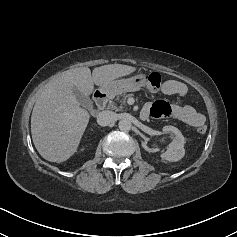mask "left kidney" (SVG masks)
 Returning a JSON list of instances; mask_svg holds the SVG:
<instances>
[{"instance_id": "left-kidney-1", "label": "left kidney", "mask_w": 237, "mask_h": 237, "mask_svg": "<svg viewBox=\"0 0 237 237\" xmlns=\"http://www.w3.org/2000/svg\"><path fill=\"white\" fill-rule=\"evenodd\" d=\"M164 133H170L174 140L169 144L168 150L161 154L162 160H167L170 162H177L182 159L185 155V138L182 135L181 131L174 126H164Z\"/></svg>"}]
</instances>
